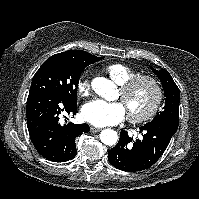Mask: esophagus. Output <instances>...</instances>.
<instances>
[{
	"label": "esophagus",
	"mask_w": 199,
	"mask_h": 199,
	"mask_svg": "<svg viewBox=\"0 0 199 199\" xmlns=\"http://www.w3.org/2000/svg\"><path fill=\"white\" fill-rule=\"evenodd\" d=\"M101 129L100 128H97V127H93V126H91L90 127V131L92 132V133H97V132H99Z\"/></svg>",
	"instance_id": "1"
}]
</instances>
